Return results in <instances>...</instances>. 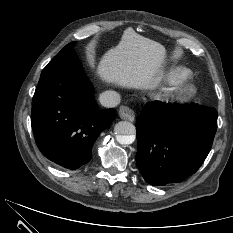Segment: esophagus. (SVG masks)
<instances>
[{
    "label": "esophagus",
    "instance_id": "esophagus-1",
    "mask_svg": "<svg viewBox=\"0 0 233 233\" xmlns=\"http://www.w3.org/2000/svg\"><path fill=\"white\" fill-rule=\"evenodd\" d=\"M118 113L123 120L134 121L135 119L134 111L128 106H121Z\"/></svg>",
    "mask_w": 233,
    "mask_h": 233
}]
</instances>
